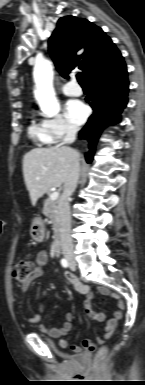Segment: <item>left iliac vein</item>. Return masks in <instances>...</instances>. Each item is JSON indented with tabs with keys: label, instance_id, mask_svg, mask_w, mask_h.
Returning a JSON list of instances; mask_svg holds the SVG:
<instances>
[{
	"label": "left iliac vein",
	"instance_id": "1",
	"mask_svg": "<svg viewBox=\"0 0 145 385\" xmlns=\"http://www.w3.org/2000/svg\"><path fill=\"white\" fill-rule=\"evenodd\" d=\"M70 268H71V270H73V271L76 269V267H75L74 264H71V265H70Z\"/></svg>",
	"mask_w": 145,
	"mask_h": 385
}]
</instances>
